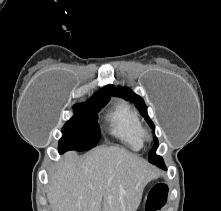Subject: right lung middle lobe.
<instances>
[{"mask_svg":"<svg viewBox=\"0 0 221 211\" xmlns=\"http://www.w3.org/2000/svg\"><path fill=\"white\" fill-rule=\"evenodd\" d=\"M109 99L110 97L91 98L87 103L74 108V116L62 128L63 137L58 146L60 153L67 150L85 151L97 145L100 140L97 114Z\"/></svg>","mask_w":221,"mask_h":211,"instance_id":"dd1d6c3e","label":"right lung middle lobe"}]
</instances>
